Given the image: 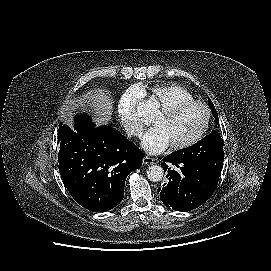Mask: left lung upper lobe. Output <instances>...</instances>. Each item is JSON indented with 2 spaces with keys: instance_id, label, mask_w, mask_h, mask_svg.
<instances>
[{
  "instance_id": "5c2ea615",
  "label": "left lung upper lobe",
  "mask_w": 271,
  "mask_h": 271,
  "mask_svg": "<svg viewBox=\"0 0 271 271\" xmlns=\"http://www.w3.org/2000/svg\"><path fill=\"white\" fill-rule=\"evenodd\" d=\"M208 102L215 118V123L218 125L219 120L217 111L210 99ZM223 146V139L218 131H214L205 138L201 139L195 145L176 151L173 154L182 159L201 163L208 169L220 174L224 161Z\"/></svg>"
}]
</instances>
